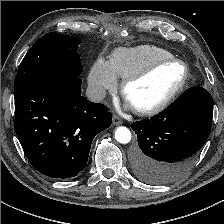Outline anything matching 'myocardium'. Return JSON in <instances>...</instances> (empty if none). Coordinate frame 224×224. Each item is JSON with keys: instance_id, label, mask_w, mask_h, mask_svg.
Listing matches in <instances>:
<instances>
[{"instance_id": "myocardium-1", "label": "myocardium", "mask_w": 224, "mask_h": 224, "mask_svg": "<svg viewBox=\"0 0 224 224\" xmlns=\"http://www.w3.org/2000/svg\"><path fill=\"white\" fill-rule=\"evenodd\" d=\"M169 63H178L183 67L184 74H183V77H182L180 83L175 87V89L165 99H163L158 104H156L152 107H149V108L133 107L134 111L136 113H138L139 115L152 116V115H156V114L164 111L166 108H168L185 89V87L188 83L189 77H190L189 68L186 65V63L184 61H182L181 59H178L175 57L162 58V59L153 61L152 63H150L148 66H146L142 70L126 77L123 80V83L121 86V92H122L123 97L128 101V88L130 87V85H132L133 83H135L139 80H142V79L148 77L156 69H158L159 67H161L163 65L169 64Z\"/></svg>"}]
</instances>
